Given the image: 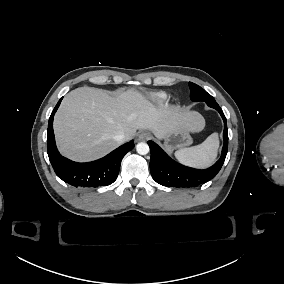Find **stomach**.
<instances>
[{
	"mask_svg": "<svg viewBox=\"0 0 284 284\" xmlns=\"http://www.w3.org/2000/svg\"><path fill=\"white\" fill-rule=\"evenodd\" d=\"M163 139L164 147L168 152L190 146L193 143L189 130L183 126H176L171 131L167 132Z\"/></svg>",
	"mask_w": 284,
	"mask_h": 284,
	"instance_id": "obj_1",
	"label": "stomach"
}]
</instances>
